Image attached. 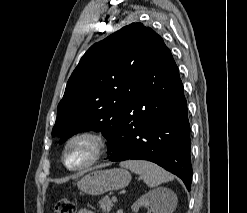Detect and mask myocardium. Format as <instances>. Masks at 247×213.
I'll list each match as a JSON object with an SVG mask.
<instances>
[{
  "label": "myocardium",
  "mask_w": 247,
  "mask_h": 213,
  "mask_svg": "<svg viewBox=\"0 0 247 213\" xmlns=\"http://www.w3.org/2000/svg\"><path fill=\"white\" fill-rule=\"evenodd\" d=\"M83 139L88 140L89 142L92 143L93 145L92 155L89 158V160L85 162L84 164L77 166V167H71L68 165L67 160H66L68 149L74 142L78 140H83ZM106 150H107V139L102 133L93 131V130H83V131H79V132L72 134L66 140L64 147H63L61 159H62L63 165L65 166L67 170L72 171V172H79V171L86 170L94 166L96 163H98L104 156Z\"/></svg>",
  "instance_id": "f54148a6"
}]
</instances>
